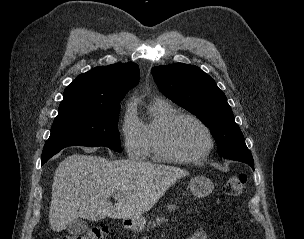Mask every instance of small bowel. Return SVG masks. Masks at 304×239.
I'll return each mask as SVG.
<instances>
[{
  "instance_id": "obj_1",
  "label": "small bowel",
  "mask_w": 304,
  "mask_h": 239,
  "mask_svg": "<svg viewBox=\"0 0 304 239\" xmlns=\"http://www.w3.org/2000/svg\"><path fill=\"white\" fill-rule=\"evenodd\" d=\"M188 239H207V236L203 230L198 229L194 231L193 234Z\"/></svg>"
}]
</instances>
